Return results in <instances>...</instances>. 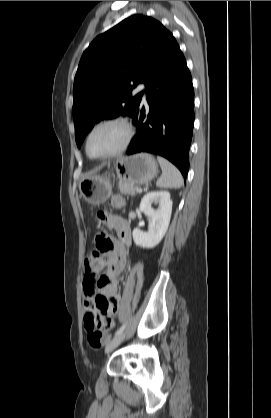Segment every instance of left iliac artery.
<instances>
[{
    "instance_id": "left-iliac-artery-1",
    "label": "left iliac artery",
    "mask_w": 271,
    "mask_h": 418,
    "mask_svg": "<svg viewBox=\"0 0 271 418\" xmlns=\"http://www.w3.org/2000/svg\"><path fill=\"white\" fill-rule=\"evenodd\" d=\"M125 327H126V323L125 324H123L116 332H115V334H114V336L116 337V336H118V335H120V334H122V332L124 331V329H125Z\"/></svg>"
}]
</instances>
